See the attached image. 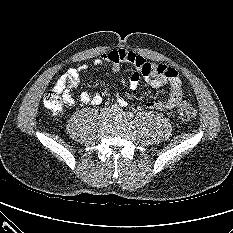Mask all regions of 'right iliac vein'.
<instances>
[{"label":"right iliac vein","mask_w":233,"mask_h":233,"mask_svg":"<svg viewBox=\"0 0 233 233\" xmlns=\"http://www.w3.org/2000/svg\"><path fill=\"white\" fill-rule=\"evenodd\" d=\"M112 116V111L108 108L103 109V111L101 112V117L104 120L109 119Z\"/></svg>","instance_id":"right-iliac-vein-1"}]
</instances>
